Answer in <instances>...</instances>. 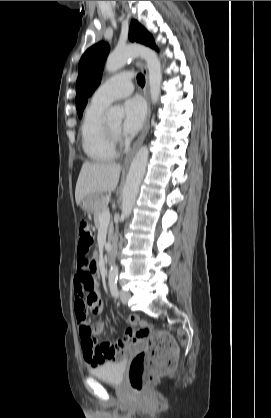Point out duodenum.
<instances>
[{"mask_svg": "<svg viewBox=\"0 0 271 418\" xmlns=\"http://www.w3.org/2000/svg\"><path fill=\"white\" fill-rule=\"evenodd\" d=\"M115 254H116V241L114 239L108 247L107 256H108L109 263L113 261Z\"/></svg>", "mask_w": 271, "mask_h": 418, "instance_id": "duodenum-1", "label": "duodenum"}]
</instances>
